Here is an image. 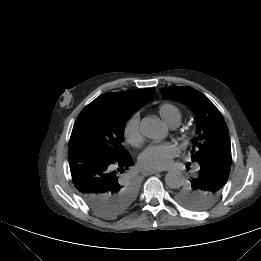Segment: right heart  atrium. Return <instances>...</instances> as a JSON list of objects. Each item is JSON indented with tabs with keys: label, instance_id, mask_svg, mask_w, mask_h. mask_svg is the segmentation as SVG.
Here are the masks:
<instances>
[{
	"label": "right heart atrium",
	"instance_id": "1",
	"mask_svg": "<svg viewBox=\"0 0 261 261\" xmlns=\"http://www.w3.org/2000/svg\"><path fill=\"white\" fill-rule=\"evenodd\" d=\"M125 140L133 146H139L142 143V134L140 131V117L137 113L130 116L123 129Z\"/></svg>",
	"mask_w": 261,
	"mask_h": 261
}]
</instances>
